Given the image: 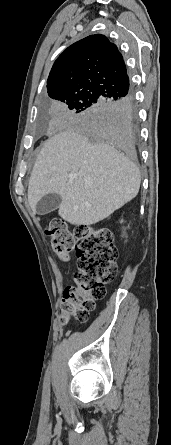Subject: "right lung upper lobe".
<instances>
[{
    "instance_id": "cb5924a9",
    "label": "right lung upper lobe",
    "mask_w": 171,
    "mask_h": 445,
    "mask_svg": "<svg viewBox=\"0 0 171 445\" xmlns=\"http://www.w3.org/2000/svg\"><path fill=\"white\" fill-rule=\"evenodd\" d=\"M47 90L52 99L66 91H91L106 100L131 95L123 57L101 34L90 35L64 50L50 71Z\"/></svg>"
}]
</instances>
